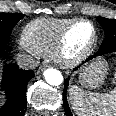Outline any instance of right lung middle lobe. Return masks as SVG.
I'll list each match as a JSON object with an SVG mask.
<instances>
[{
  "label": "right lung middle lobe",
  "instance_id": "right-lung-middle-lobe-1",
  "mask_svg": "<svg viewBox=\"0 0 116 116\" xmlns=\"http://www.w3.org/2000/svg\"><path fill=\"white\" fill-rule=\"evenodd\" d=\"M23 17L20 13H0V53L4 52L12 29Z\"/></svg>",
  "mask_w": 116,
  "mask_h": 116
}]
</instances>
